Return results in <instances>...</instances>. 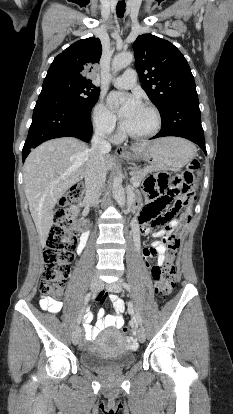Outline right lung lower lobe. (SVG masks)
Returning a JSON list of instances; mask_svg holds the SVG:
<instances>
[{
  "mask_svg": "<svg viewBox=\"0 0 233 414\" xmlns=\"http://www.w3.org/2000/svg\"><path fill=\"white\" fill-rule=\"evenodd\" d=\"M90 113L55 100L39 99L22 150L23 161L32 148L49 139L72 136L88 142L92 135Z\"/></svg>",
  "mask_w": 233,
  "mask_h": 414,
  "instance_id": "obj_1",
  "label": "right lung lower lobe"
}]
</instances>
